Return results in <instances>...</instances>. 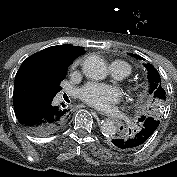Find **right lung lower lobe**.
I'll use <instances>...</instances> for the list:
<instances>
[{
    "instance_id": "98d812e1",
    "label": "right lung lower lobe",
    "mask_w": 177,
    "mask_h": 177,
    "mask_svg": "<svg viewBox=\"0 0 177 177\" xmlns=\"http://www.w3.org/2000/svg\"><path fill=\"white\" fill-rule=\"evenodd\" d=\"M53 98L54 96L39 94L22 86H14L16 118L32 135H52L66 124L69 109L54 106Z\"/></svg>"
}]
</instances>
